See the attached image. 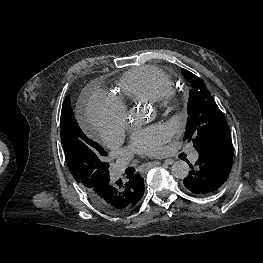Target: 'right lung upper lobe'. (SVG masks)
Masks as SVG:
<instances>
[{
  "label": "right lung upper lobe",
  "mask_w": 263,
  "mask_h": 263,
  "mask_svg": "<svg viewBox=\"0 0 263 263\" xmlns=\"http://www.w3.org/2000/svg\"><path fill=\"white\" fill-rule=\"evenodd\" d=\"M144 194V184H135L131 185L129 189L128 199L124 205L117 208V210L114 211V213H125L133 210L137 207L139 201L141 200L142 196Z\"/></svg>",
  "instance_id": "obj_1"
}]
</instances>
